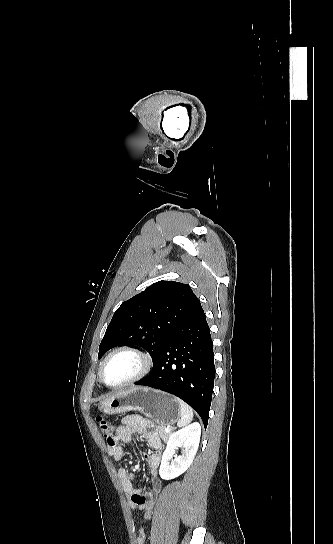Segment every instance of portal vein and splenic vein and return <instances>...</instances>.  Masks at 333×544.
<instances>
[{
  "label": "portal vein and splenic vein",
  "instance_id": "1",
  "mask_svg": "<svg viewBox=\"0 0 333 544\" xmlns=\"http://www.w3.org/2000/svg\"><path fill=\"white\" fill-rule=\"evenodd\" d=\"M170 431H171V429H170V427L168 426V427L165 429V432L168 433V432H170Z\"/></svg>",
  "mask_w": 333,
  "mask_h": 544
}]
</instances>
